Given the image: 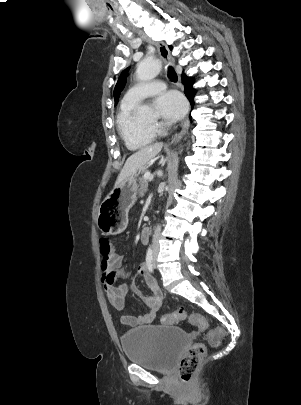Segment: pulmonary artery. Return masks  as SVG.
<instances>
[{
  "label": "pulmonary artery",
  "mask_w": 301,
  "mask_h": 405,
  "mask_svg": "<svg viewBox=\"0 0 301 405\" xmlns=\"http://www.w3.org/2000/svg\"><path fill=\"white\" fill-rule=\"evenodd\" d=\"M166 84L160 80L140 83L130 88L124 95L123 101L138 103L142 99L153 96L165 90Z\"/></svg>",
  "instance_id": "e3ab8cb5"
}]
</instances>
